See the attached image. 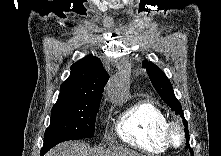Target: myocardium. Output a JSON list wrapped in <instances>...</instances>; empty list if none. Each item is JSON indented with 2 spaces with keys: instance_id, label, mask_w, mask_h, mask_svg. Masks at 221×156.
<instances>
[{
  "instance_id": "myocardium-1",
  "label": "myocardium",
  "mask_w": 221,
  "mask_h": 156,
  "mask_svg": "<svg viewBox=\"0 0 221 156\" xmlns=\"http://www.w3.org/2000/svg\"><path fill=\"white\" fill-rule=\"evenodd\" d=\"M175 133H179V140L175 139ZM165 139L170 147L179 148L186 140V130L180 121H170L165 132Z\"/></svg>"
}]
</instances>
